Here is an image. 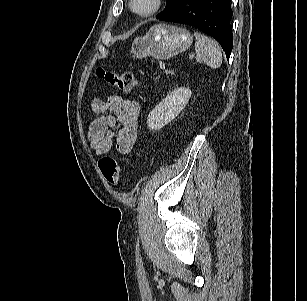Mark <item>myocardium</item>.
I'll list each match as a JSON object with an SVG mask.
<instances>
[{
    "label": "myocardium",
    "instance_id": "1",
    "mask_svg": "<svg viewBox=\"0 0 307 301\" xmlns=\"http://www.w3.org/2000/svg\"><path fill=\"white\" fill-rule=\"evenodd\" d=\"M163 3H164V0H154V5L152 6L151 9L145 12H140L135 9L134 0H129V8L132 11V13H134L135 15L139 17H150L161 10V8L163 7Z\"/></svg>",
    "mask_w": 307,
    "mask_h": 301
}]
</instances>
